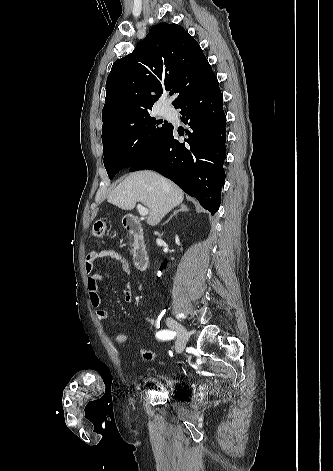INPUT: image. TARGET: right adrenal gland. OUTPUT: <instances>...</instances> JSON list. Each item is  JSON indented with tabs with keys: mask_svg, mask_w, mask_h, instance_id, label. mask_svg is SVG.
Here are the masks:
<instances>
[{
	"mask_svg": "<svg viewBox=\"0 0 333 471\" xmlns=\"http://www.w3.org/2000/svg\"><path fill=\"white\" fill-rule=\"evenodd\" d=\"M188 211H189V209L187 208V206H186L185 204H181V205H180V208H179L178 210H175V211L173 212V214L168 218V220L166 221V223L169 222V221H170L176 214H178L179 212H188Z\"/></svg>",
	"mask_w": 333,
	"mask_h": 471,
	"instance_id": "obj_1",
	"label": "right adrenal gland"
}]
</instances>
